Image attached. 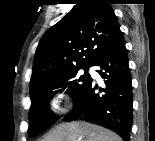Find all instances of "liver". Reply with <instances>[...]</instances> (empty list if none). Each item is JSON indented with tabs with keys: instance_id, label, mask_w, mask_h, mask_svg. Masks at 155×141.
I'll list each match as a JSON object with an SVG mask.
<instances>
[{
	"instance_id": "6515ba94",
	"label": "liver",
	"mask_w": 155,
	"mask_h": 141,
	"mask_svg": "<svg viewBox=\"0 0 155 141\" xmlns=\"http://www.w3.org/2000/svg\"><path fill=\"white\" fill-rule=\"evenodd\" d=\"M43 141H121V138L98 125L78 121L55 126Z\"/></svg>"
}]
</instances>
